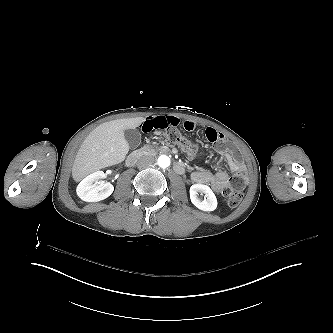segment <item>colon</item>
<instances>
[{"instance_id": "1", "label": "colon", "mask_w": 333, "mask_h": 333, "mask_svg": "<svg viewBox=\"0 0 333 333\" xmlns=\"http://www.w3.org/2000/svg\"><path fill=\"white\" fill-rule=\"evenodd\" d=\"M177 127V126H176ZM176 127L165 132V137L171 145L179 147L190 157L200 159L201 153L196 144L181 136ZM143 132V131H142ZM148 134L147 132H143ZM151 133V132H150ZM231 183L226 184L222 188V194L227 199V204L231 208L237 207L242 200L243 194L241 186L244 184L245 176L242 173L236 172L231 175Z\"/></svg>"}]
</instances>
